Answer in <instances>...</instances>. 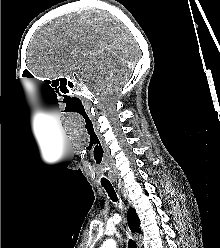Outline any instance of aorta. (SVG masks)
Segmentation results:
<instances>
[{"instance_id": "aorta-1", "label": "aorta", "mask_w": 220, "mask_h": 248, "mask_svg": "<svg viewBox=\"0 0 220 248\" xmlns=\"http://www.w3.org/2000/svg\"><path fill=\"white\" fill-rule=\"evenodd\" d=\"M101 248H116V242L113 239L106 240Z\"/></svg>"}]
</instances>
